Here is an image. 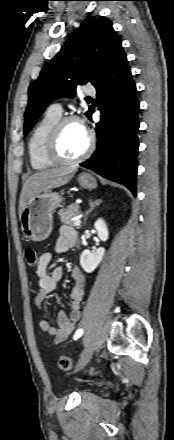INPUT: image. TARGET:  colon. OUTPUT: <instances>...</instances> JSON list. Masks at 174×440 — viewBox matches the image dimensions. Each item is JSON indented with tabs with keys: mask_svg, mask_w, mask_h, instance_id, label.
Segmentation results:
<instances>
[{
	"mask_svg": "<svg viewBox=\"0 0 174 440\" xmlns=\"http://www.w3.org/2000/svg\"><path fill=\"white\" fill-rule=\"evenodd\" d=\"M26 263L30 267H34L37 265L38 257L37 252L33 248H26L24 251ZM59 368L65 372H70L73 369V363L71 359L67 356H61L59 359ZM92 374H95V372H91Z\"/></svg>",
	"mask_w": 174,
	"mask_h": 440,
	"instance_id": "colon-1",
	"label": "colon"
}]
</instances>
